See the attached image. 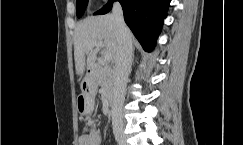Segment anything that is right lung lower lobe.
<instances>
[{
	"instance_id": "1",
	"label": "right lung lower lobe",
	"mask_w": 243,
	"mask_h": 145,
	"mask_svg": "<svg viewBox=\"0 0 243 145\" xmlns=\"http://www.w3.org/2000/svg\"><path fill=\"white\" fill-rule=\"evenodd\" d=\"M114 0L95 14L108 13ZM123 9L126 24L146 51H151L161 31L163 20L171 0H118Z\"/></svg>"
}]
</instances>
